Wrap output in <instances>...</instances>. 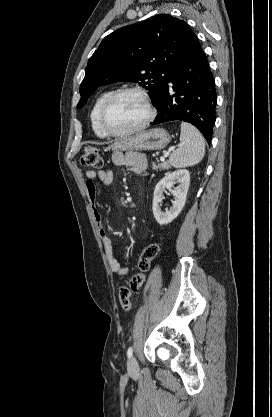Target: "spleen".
Returning a JSON list of instances; mask_svg holds the SVG:
<instances>
[{
    "label": "spleen",
    "mask_w": 272,
    "mask_h": 417,
    "mask_svg": "<svg viewBox=\"0 0 272 417\" xmlns=\"http://www.w3.org/2000/svg\"><path fill=\"white\" fill-rule=\"evenodd\" d=\"M205 154V141L202 134L193 125L181 123L180 147L172 152L169 158L175 168L189 167L198 164Z\"/></svg>",
    "instance_id": "obj_1"
}]
</instances>
